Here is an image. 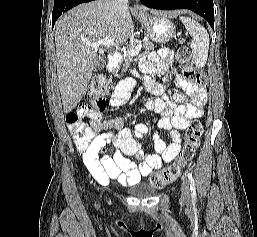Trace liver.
<instances>
[{"label":"liver","mask_w":257,"mask_h":237,"mask_svg":"<svg viewBox=\"0 0 257 237\" xmlns=\"http://www.w3.org/2000/svg\"><path fill=\"white\" fill-rule=\"evenodd\" d=\"M162 14L171 18L177 16L176 12ZM133 31L128 7L119 6L116 0L81 4L57 20L54 27L57 75L64 113L72 111L80 102L98 63L97 49L84 42L110 38L122 44Z\"/></svg>","instance_id":"obj_1"}]
</instances>
